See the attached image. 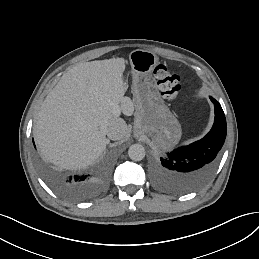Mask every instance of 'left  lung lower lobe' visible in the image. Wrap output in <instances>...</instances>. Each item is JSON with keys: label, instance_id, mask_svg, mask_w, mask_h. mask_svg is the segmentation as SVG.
<instances>
[{"label": "left lung lower lobe", "instance_id": "left-lung-lower-lobe-1", "mask_svg": "<svg viewBox=\"0 0 259 259\" xmlns=\"http://www.w3.org/2000/svg\"><path fill=\"white\" fill-rule=\"evenodd\" d=\"M215 107L214 124L208 134L190 145L179 147L153 164L156 183L172 192L187 191L206 180L215 170L227 132L221 105L210 97Z\"/></svg>", "mask_w": 259, "mask_h": 259}]
</instances>
